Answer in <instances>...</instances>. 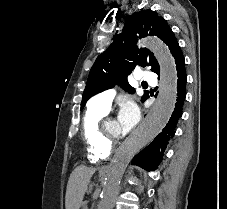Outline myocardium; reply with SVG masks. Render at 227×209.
Wrapping results in <instances>:
<instances>
[{
	"label": "myocardium",
	"instance_id": "obj_1",
	"mask_svg": "<svg viewBox=\"0 0 227 209\" xmlns=\"http://www.w3.org/2000/svg\"><path fill=\"white\" fill-rule=\"evenodd\" d=\"M114 120L113 117L111 116H107L105 118H103L98 125V135L100 140L107 146L109 147H113V146H117L123 143L124 138H111L107 135L106 131H105V125L107 124V122Z\"/></svg>",
	"mask_w": 227,
	"mask_h": 209
}]
</instances>
